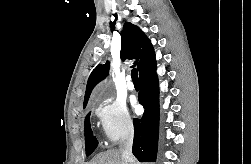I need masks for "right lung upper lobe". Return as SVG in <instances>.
<instances>
[{"mask_svg": "<svg viewBox=\"0 0 251 164\" xmlns=\"http://www.w3.org/2000/svg\"><path fill=\"white\" fill-rule=\"evenodd\" d=\"M121 59H137L133 66H137L139 75L156 65L153 46L147 36L135 25L127 22L121 33ZM109 72V62L98 65L91 73L86 87L84 106L87 105L92 89L104 79Z\"/></svg>", "mask_w": 251, "mask_h": 164, "instance_id": "1", "label": "right lung upper lobe"}]
</instances>
